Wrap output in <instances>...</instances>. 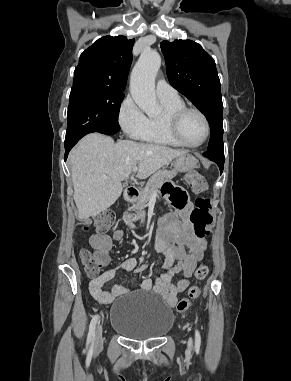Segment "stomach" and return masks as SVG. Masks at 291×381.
I'll list each match as a JSON object with an SVG mask.
<instances>
[{"label": "stomach", "mask_w": 291, "mask_h": 381, "mask_svg": "<svg viewBox=\"0 0 291 381\" xmlns=\"http://www.w3.org/2000/svg\"><path fill=\"white\" fill-rule=\"evenodd\" d=\"M197 164L196 158L189 154L185 153L175 158L173 161L174 169L178 172H189L192 171Z\"/></svg>", "instance_id": "stomach-1"}]
</instances>
